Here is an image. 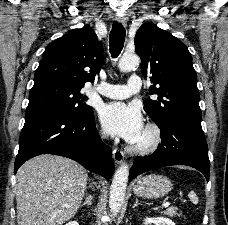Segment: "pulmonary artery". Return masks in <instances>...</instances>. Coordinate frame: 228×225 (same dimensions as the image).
I'll return each instance as SVG.
<instances>
[{"mask_svg": "<svg viewBox=\"0 0 228 225\" xmlns=\"http://www.w3.org/2000/svg\"><path fill=\"white\" fill-rule=\"evenodd\" d=\"M138 76H131L132 79H137ZM130 85H126V90L123 85H113L110 83H102L94 89L103 96L113 99H124L130 97L132 94H137V90H142L141 81H130Z\"/></svg>", "mask_w": 228, "mask_h": 225, "instance_id": "1", "label": "pulmonary artery"}]
</instances>
